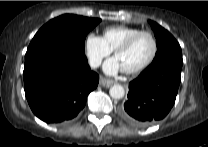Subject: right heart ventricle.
<instances>
[{
	"label": "right heart ventricle",
	"mask_w": 208,
	"mask_h": 147,
	"mask_svg": "<svg viewBox=\"0 0 208 147\" xmlns=\"http://www.w3.org/2000/svg\"><path fill=\"white\" fill-rule=\"evenodd\" d=\"M139 31H141L139 28L127 25L111 26L104 30L103 39L111 51H114L127 38Z\"/></svg>",
	"instance_id": "right-heart-ventricle-1"
}]
</instances>
